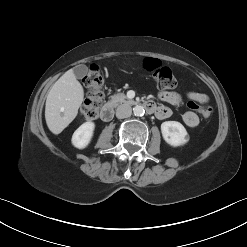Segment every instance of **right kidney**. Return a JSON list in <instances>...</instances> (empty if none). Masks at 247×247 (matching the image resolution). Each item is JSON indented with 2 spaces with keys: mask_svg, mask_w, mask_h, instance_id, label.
<instances>
[{
  "mask_svg": "<svg viewBox=\"0 0 247 247\" xmlns=\"http://www.w3.org/2000/svg\"><path fill=\"white\" fill-rule=\"evenodd\" d=\"M95 129L93 122L83 123L72 136V144L78 149H84L90 143Z\"/></svg>",
  "mask_w": 247,
  "mask_h": 247,
  "instance_id": "right-kidney-1",
  "label": "right kidney"
}]
</instances>
